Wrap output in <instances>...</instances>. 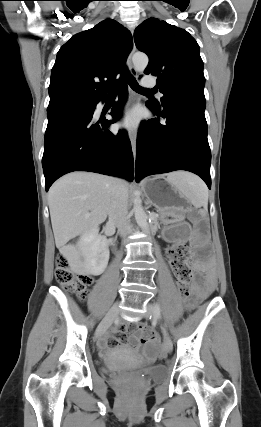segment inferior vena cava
Instances as JSON below:
<instances>
[{"label": "inferior vena cava", "mask_w": 261, "mask_h": 427, "mask_svg": "<svg viewBox=\"0 0 261 427\" xmlns=\"http://www.w3.org/2000/svg\"><path fill=\"white\" fill-rule=\"evenodd\" d=\"M128 189L123 180L115 178L109 207V223L117 226L122 237L131 232L128 219Z\"/></svg>", "instance_id": "1"}]
</instances>
